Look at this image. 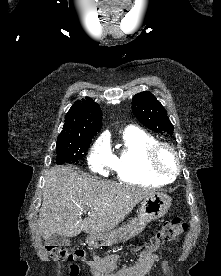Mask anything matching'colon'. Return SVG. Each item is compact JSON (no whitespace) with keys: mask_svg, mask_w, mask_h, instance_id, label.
Returning <instances> with one entry per match:
<instances>
[{"mask_svg":"<svg viewBox=\"0 0 221 276\" xmlns=\"http://www.w3.org/2000/svg\"><path fill=\"white\" fill-rule=\"evenodd\" d=\"M187 228V224L183 223L179 218L165 221L148 246L157 248L175 242L181 238ZM46 251L52 259L70 263L71 276H76L78 273V267L75 264L76 262L90 260L83 250L71 251L60 246L49 245L46 246Z\"/></svg>","mask_w":221,"mask_h":276,"instance_id":"obj_1","label":"colon"}]
</instances>
